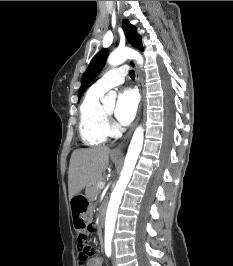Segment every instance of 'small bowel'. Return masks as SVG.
Here are the masks:
<instances>
[{"mask_svg":"<svg viewBox=\"0 0 233 266\" xmlns=\"http://www.w3.org/2000/svg\"><path fill=\"white\" fill-rule=\"evenodd\" d=\"M78 263H79V258H78ZM102 264L103 260L101 257H92L90 259H87L84 266H102Z\"/></svg>","mask_w":233,"mask_h":266,"instance_id":"1","label":"small bowel"}]
</instances>
